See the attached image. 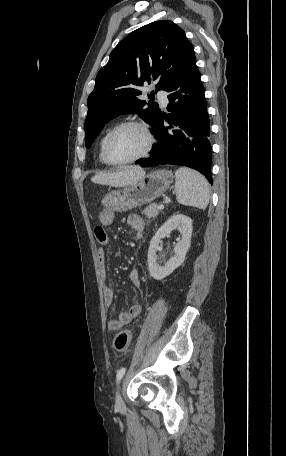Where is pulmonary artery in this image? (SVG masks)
<instances>
[{"label": "pulmonary artery", "instance_id": "e3ab8cb5", "mask_svg": "<svg viewBox=\"0 0 286 456\" xmlns=\"http://www.w3.org/2000/svg\"><path fill=\"white\" fill-rule=\"evenodd\" d=\"M157 97L160 99L161 103L163 106H166L167 104V94L164 91H159L157 92Z\"/></svg>", "mask_w": 286, "mask_h": 456}]
</instances>
